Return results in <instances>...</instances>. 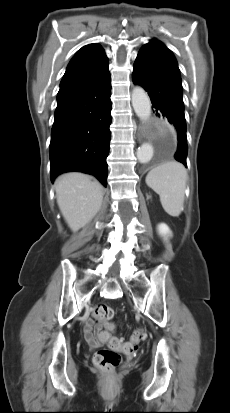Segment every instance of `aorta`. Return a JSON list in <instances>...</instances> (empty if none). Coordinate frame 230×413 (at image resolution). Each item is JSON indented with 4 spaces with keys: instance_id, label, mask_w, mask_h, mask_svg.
Instances as JSON below:
<instances>
[{
    "instance_id": "aorta-1",
    "label": "aorta",
    "mask_w": 230,
    "mask_h": 413,
    "mask_svg": "<svg viewBox=\"0 0 230 413\" xmlns=\"http://www.w3.org/2000/svg\"><path fill=\"white\" fill-rule=\"evenodd\" d=\"M132 106L136 115L147 121L151 115V102L148 94L140 86H135L132 90ZM153 146L150 143L142 144L137 150V158L140 163H147L153 157Z\"/></svg>"
}]
</instances>
